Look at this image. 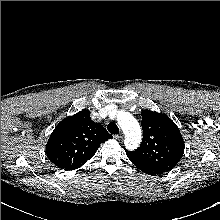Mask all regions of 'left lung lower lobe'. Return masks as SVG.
I'll list each match as a JSON object with an SVG mask.
<instances>
[{
  "instance_id": "0a47b994",
  "label": "left lung lower lobe",
  "mask_w": 220,
  "mask_h": 220,
  "mask_svg": "<svg viewBox=\"0 0 220 220\" xmlns=\"http://www.w3.org/2000/svg\"><path fill=\"white\" fill-rule=\"evenodd\" d=\"M132 163H133L137 168H139L141 171H143L144 173L149 174V175H156L155 172H153V171L147 169V168L144 167L143 165H140V164L134 163V162H132Z\"/></svg>"
}]
</instances>
